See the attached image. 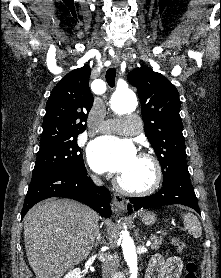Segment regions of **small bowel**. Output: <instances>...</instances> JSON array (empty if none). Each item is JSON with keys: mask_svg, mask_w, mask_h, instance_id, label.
Masks as SVG:
<instances>
[{"mask_svg": "<svg viewBox=\"0 0 221 278\" xmlns=\"http://www.w3.org/2000/svg\"><path fill=\"white\" fill-rule=\"evenodd\" d=\"M182 268V260L177 256L165 259L161 255H155L150 262L145 278H179Z\"/></svg>", "mask_w": 221, "mask_h": 278, "instance_id": "c3829d8e", "label": "small bowel"}]
</instances>
